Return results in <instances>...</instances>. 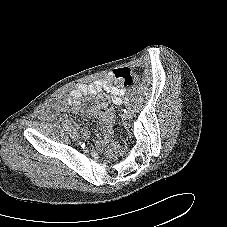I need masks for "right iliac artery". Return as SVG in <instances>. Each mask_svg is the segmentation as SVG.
<instances>
[{
    "label": "right iliac artery",
    "mask_w": 227,
    "mask_h": 227,
    "mask_svg": "<svg viewBox=\"0 0 227 227\" xmlns=\"http://www.w3.org/2000/svg\"><path fill=\"white\" fill-rule=\"evenodd\" d=\"M63 128H64L66 131H71V129L69 128V126H68L66 123H63Z\"/></svg>",
    "instance_id": "obj_1"
}]
</instances>
